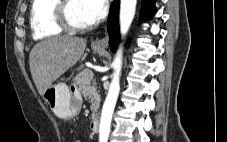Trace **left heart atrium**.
<instances>
[{
    "mask_svg": "<svg viewBox=\"0 0 227 142\" xmlns=\"http://www.w3.org/2000/svg\"><path fill=\"white\" fill-rule=\"evenodd\" d=\"M82 8L88 18L92 21L102 19L107 10V0H80Z\"/></svg>",
    "mask_w": 227,
    "mask_h": 142,
    "instance_id": "39dd6f15",
    "label": "left heart atrium"
}]
</instances>
